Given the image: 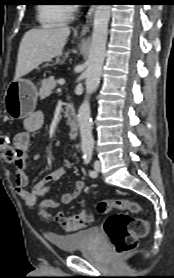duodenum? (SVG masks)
I'll return each mask as SVG.
<instances>
[{"mask_svg": "<svg viewBox=\"0 0 174 278\" xmlns=\"http://www.w3.org/2000/svg\"><path fill=\"white\" fill-rule=\"evenodd\" d=\"M63 115L70 127V136L75 137L78 132V120L75 109L72 104L64 103Z\"/></svg>", "mask_w": 174, "mask_h": 278, "instance_id": "obj_1", "label": "duodenum"}]
</instances>
